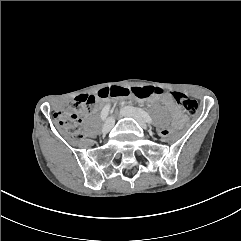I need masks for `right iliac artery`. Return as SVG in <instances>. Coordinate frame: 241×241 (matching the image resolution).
I'll list each match as a JSON object with an SVG mask.
<instances>
[{"label":"right iliac artery","instance_id":"1","mask_svg":"<svg viewBox=\"0 0 241 241\" xmlns=\"http://www.w3.org/2000/svg\"><path fill=\"white\" fill-rule=\"evenodd\" d=\"M110 105H106L101 111V119L104 121L109 114Z\"/></svg>","mask_w":241,"mask_h":241}]
</instances>
